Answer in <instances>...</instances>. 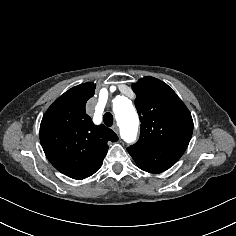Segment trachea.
Segmentation results:
<instances>
[{"label": "trachea", "mask_w": 236, "mask_h": 236, "mask_svg": "<svg viewBox=\"0 0 236 236\" xmlns=\"http://www.w3.org/2000/svg\"><path fill=\"white\" fill-rule=\"evenodd\" d=\"M103 121L107 127H111L113 125V115L109 112H106L103 116Z\"/></svg>", "instance_id": "3493384b"}]
</instances>
